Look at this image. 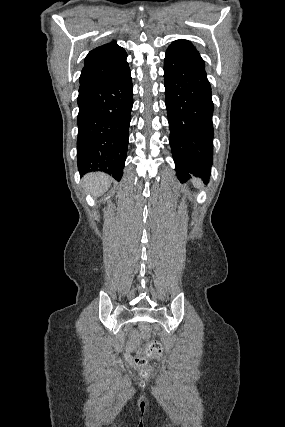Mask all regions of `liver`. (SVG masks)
<instances>
[{
	"instance_id": "liver-1",
	"label": "liver",
	"mask_w": 285,
	"mask_h": 427,
	"mask_svg": "<svg viewBox=\"0 0 285 427\" xmlns=\"http://www.w3.org/2000/svg\"><path fill=\"white\" fill-rule=\"evenodd\" d=\"M83 184L95 197H99L110 187L111 178L101 172H92L84 176Z\"/></svg>"
}]
</instances>
